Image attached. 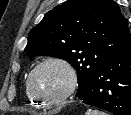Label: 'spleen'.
<instances>
[{"label":"spleen","instance_id":"1","mask_svg":"<svg viewBox=\"0 0 131 115\" xmlns=\"http://www.w3.org/2000/svg\"><path fill=\"white\" fill-rule=\"evenodd\" d=\"M85 115H105L103 112L98 110H88Z\"/></svg>","mask_w":131,"mask_h":115}]
</instances>
